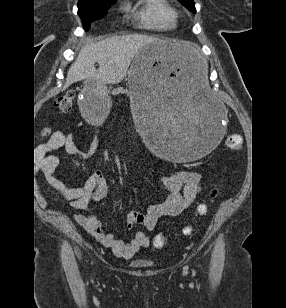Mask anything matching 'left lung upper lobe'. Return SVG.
Segmentation results:
<instances>
[{
    "instance_id": "1",
    "label": "left lung upper lobe",
    "mask_w": 286,
    "mask_h": 308,
    "mask_svg": "<svg viewBox=\"0 0 286 308\" xmlns=\"http://www.w3.org/2000/svg\"><path fill=\"white\" fill-rule=\"evenodd\" d=\"M180 3H182L186 8H188L191 12L195 13V3L193 0H178Z\"/></svg>"
}]
</instances>
